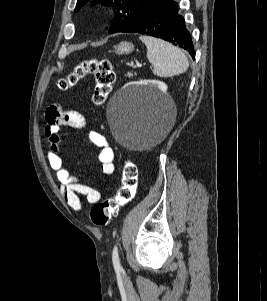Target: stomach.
I'll use <instances>...</instances> for the list:
<instances>
[{
  "label": "stomach",
  "mask_w": 267,
  "mask_h": 301,
  "mask_svg": "<svg viewBox=\"0 0 267 301\" xmlns=\"http://www.w3.org/2000/svg\"><path fill=\"white\" fill-rule=\"evenodd\" d=\"M115 53L118 55H127L133 52L134 46L130 42H121L114 47Z\"/></svg>",
  "instance_id": "stomach-1"
}]
</instances>
